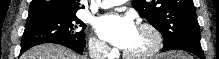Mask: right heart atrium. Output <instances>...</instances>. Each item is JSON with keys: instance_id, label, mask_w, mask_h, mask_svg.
<instances>
[{"instance_id": "right-heart-atrium-1", "label": "right heart atrium", "mask_w": 219, "mask_h": 59, "mask_svg": "<svg viewBox=\"0 0 219 59\" xmlns=\"http://www.w3.org/2000/svg\"><path fill=\"white\" fill-rule=\"evenodd\" d=\"M90 52L94 57L105 58L109 55V47L98 37H91L89 41Z\"/></svg>"}]
</instances>
